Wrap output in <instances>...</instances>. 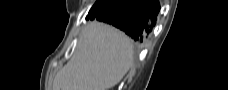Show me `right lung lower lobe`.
I'll use <instances>...</instances> for the list:
<instances>
[{"instance_id": "1", "label": "right lung lower lobe", "mask_w": 228, "mask_h": 90, "mask_svg": "<svg viewBox=\"0 0 228 90\" xmlns=\"http://www.w3.org/2000/svg\"><path fill=\"white\" fill-rule=\"evenodd\" d=\"M159 10L158 0H103L100 6L94 4L86 19L113 25L139 44L155 26Z\"/></svg>"}]
</instances>
